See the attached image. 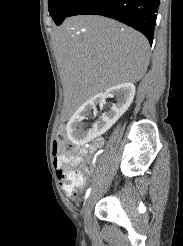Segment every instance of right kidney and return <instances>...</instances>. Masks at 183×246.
Returning <instances> with one entry per match:
<instances>
[{
  "instance_id": "1",
  "label": "right kidney",
  "mask_w": 183,
  "mask_h": 246,
  "mask_svg": "<svg viewBox=\"0 0 183 246\" xmlns=\"http://www.w3.org/2000/svg\"><path fill=\"white\" fill-rule=\"evenodd\" d=\"M134 95V84L127 82L110 87L104 93L97 94L90 98L77 109V111L67 123L66 130L68 138L74 144L79 145L104 134L127 111L133 101ZM113 96H116L117 103L113 104L110 110L103 114L100 121L94 123L90 131H83L81 129L82 121L89 114L90 110L97 104L105 103L107 98Z\"/></svg>"
}]
</instances>
